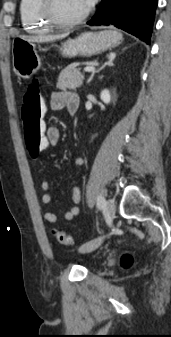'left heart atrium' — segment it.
I'll list each match as a JSON object with an SVG mask.
<instances>
[{"label": "left heart atrium", "mask_w": 171, "mask_h": 337, "mask_svg": "<svg viewBox=\"0 0 171 337\" xmlns=\"http://www.w3.org/2000/svg\"><path fill=\"white\" fill-rule=\"evenodd\" d=\"M96 0H83L84 2V5L89 8L91 7L94 3H95Z\"/></svg>", "instance_id": "left-heart-atrium-1"}]
</instances>
